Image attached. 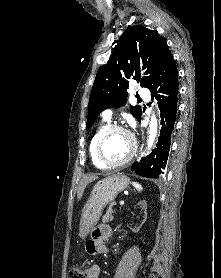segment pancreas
<instances>
[{"label":"pancreas","instance_id":"1","mask_svg":"<svg viewBox=\"0 0 221 278\" xmlns=\"http://www.w3.org/2000/svg\"><path fill=\"white\" fill-rule=\"evenodd\" d=\"M113 214H114V210L109 207V209L106 211V214L103 216L102 221L103 222H109L113 220Z\"/></svg>","mask_w":221,"mask_h":278}]
</instances>
